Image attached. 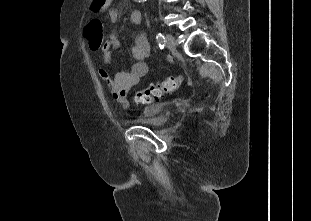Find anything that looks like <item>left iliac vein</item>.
Here are the masks:
<instances>
[{
  "label": "left iliac vein",
  "instance_id": "1",
  "mask_svg": "<svg viewBox=\"0 0 311 221\" xmlns=\"http://www.w3.org/2000/svg\"><path fill=\"white\" fill-rule=\"evenodd\" d=\"M166 46L170 50H175L176 49L175 37L172 34H170V33L166 34Z\"/></svg>",
  "mask_w": 311,
  "mask_h": 221
}]
</instances>
